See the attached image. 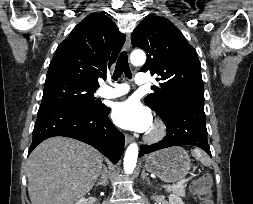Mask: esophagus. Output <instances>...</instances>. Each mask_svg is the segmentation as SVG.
Wrapping results in <instances>:
<instances>
[{"instance_id":"34e87169","label":"esophagus","mask_w":253,"mask_h":204,"mask_svg":"<svg viewBox=\"0 0 253 204\" xmlns=\"http://www.w3.org/2000/svg\"><path fill=\"white\" fill-rule=\"evenodd\" d=\"M130 47H131L130 35H127V38H126V41H125V44H124V50H125V51H129V50H130ZM132 140H133V138H132L131 135L125 134V143H126V144L131 143Z\"/></svg>"}]
</instances>
